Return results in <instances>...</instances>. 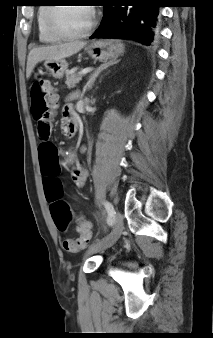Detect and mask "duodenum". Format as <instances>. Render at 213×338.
Wrapping results in <instances>:
<instances>
[{"label": "duodenum", "instance_id": "duodenum-1", "mask_svg": "<svg viewBox=\"0 0 213 338\" xmlns=\"http://www.w3.org/2000/svg\"><path fill=\"white\" fill-rule=\"evenodd\" d=\"M77 127H78L77 119L75 117H72L69 123L66 125V132H68L69 134H73L76 132Z\"/></svg>", "mask_w": 213, "mask_h": 338}]
</instances>
